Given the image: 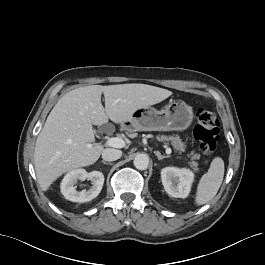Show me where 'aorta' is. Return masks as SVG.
Instances as JSON below:
<instances>
[{"label":"aorta","mask_w":265,"mask_h":265,"mask_svg":"<svg viewBox=\"0 0 265 265\" xmlns=\"http://www.w3.org/2000/svg\"><path fill=\"white\" fill-rule=\"evenodd\" d=\"M133 163H134V166L136 167V169L146 170L148 168V165H149V157L147 154L140 153V154L136 155Z\"/></svg>","instance_id":"obj_1"}]
</instances>
